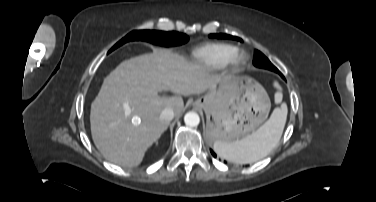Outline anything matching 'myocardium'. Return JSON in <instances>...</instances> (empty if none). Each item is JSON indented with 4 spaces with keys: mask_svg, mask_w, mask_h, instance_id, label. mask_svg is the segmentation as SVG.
Returning a JSON list of instances; mask_svg holds the SVG:
<instances>
[{
    "mask_svg": "<svg viewBox=\"0 0 376 202\" xmlns=\"http://www.w3.org/2000/svg\"><path fill=\"white\" fill-rule=\"evenodd\" d=\"M246 62V55L241 51H236L228 60L227 66L232 70H238Z\"/></svg>",
    "mask_w": 376,
    "mask_h": 202,
    "instance_id": "1",
    "label": "myocardium"
}]
</instances>
